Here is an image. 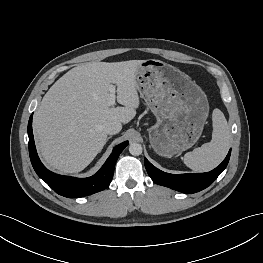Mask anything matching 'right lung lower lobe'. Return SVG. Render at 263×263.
<instances>
[{"instance_id":"1","label":"right lung lower lobe","mask_w":263,"mask_h":263,"mask_svg":"<svg viewBox=\"0 0 263 263\" xmlns=\"http://www.w3.org/2000/svg\"><path fill=\"white\" fill-rule=\"evenodd\" d=\"M29 155L37 175L43 179L56 193L68 198L84 197L106 189L113 177L115 163L123 149L128 145L125 141L116 146L102 168L88 178H75L55 174L41 163L34 144L32 133V115L28 122Z\"/></svg>"}]
</instances>
